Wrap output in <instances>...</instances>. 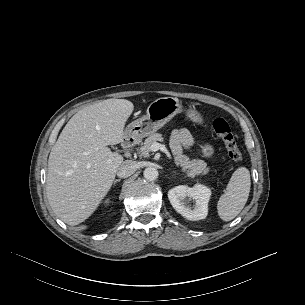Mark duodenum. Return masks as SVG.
Returning <instances> with one entry per match:
<instances>
[{"label":"duodenum","instance_id":"410a0bca","mask_svg":"<svg viewBox=\"0 0 305 305\" xmlns=\"http://www.w3.org/2000/svg\"><path fill=\"white\" fill-rule=\"evenodd\" d=\"M136 140L137 138L134 134H129L124 138L122 142V147L124 149H129L136 143Z\"/></svg>","mask_w":305,"mask_h":305}]
</instances>
